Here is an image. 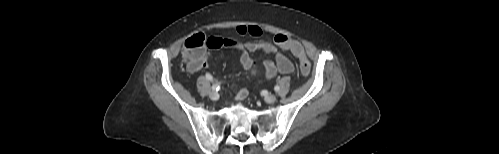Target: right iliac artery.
I'll use <instances>...</instances> for the list:
<instances>
[{"label": "right iliac artery", "mask_w": 499, "mask_h": 154, "mask_svg": "<svg viewBox=\"0 0 499 154\" xmlns=\"http://www.w3.org/2000/svg\"><path fill=\"white\" fill-rule=\"evenodd\" d=\"M206 78L209 80V81H213V77L211 76V74L207 73L206 74ZM220 89V85L215 83L212 85V90L213 91H218Z\"/></svg>", "instance_id": "82829eb1"}]
</instances>
